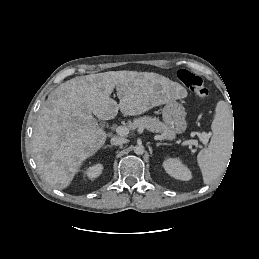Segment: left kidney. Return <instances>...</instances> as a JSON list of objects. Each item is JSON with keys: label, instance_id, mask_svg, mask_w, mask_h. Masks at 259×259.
I'll use <instances>...</instances> for the list:
<instances>
[{"label": "left kidney", "instance_id": "left-kidney-1", "mask_svg": "<svg viewBox=\"0 0 259 259\" xmlns=\"http://www.w3.org/2000/svg\"><path fill=\"white\" fill-rule=\"evenodd\" d=\"M165 171L173 178L182 181H188L192 178L191 171L187 168L180 159L168 158L163 162Z\"/></svg>", "mask_w": 259, "mask_h": 259}]
</instances>
